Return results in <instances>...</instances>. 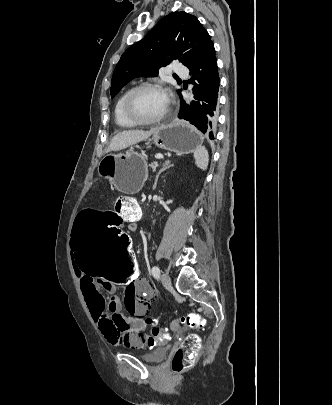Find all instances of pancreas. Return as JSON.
<instances>
[{"mask_svg": "<svg viewBox=\"0 0 332 405\" xmlns=\"http://www.w3.org/2000/svg\"><path fill=\"white\" fill-rule=\"evenodd\" d=\"M149 166H150L151 168L155 169V168L158 166V163L154 161V162L151 163Z\"/></svg>", "mask_w": 332, "mask_h": 405, "instance_id": "pancreas-1", "label": "pancreas"}]
</instances>
